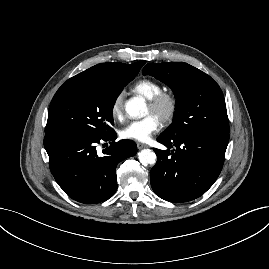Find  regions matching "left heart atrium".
Masks as SVG:
<instances>
[{
	"instance_id": "obj_1",
	"label": "left heart atrium",
	"mask_w": 269,
	"mask_h": 269,
	"mask_svg": "<svg viewBox=\"0 0 269 269\" xmlns=\"http://www.w3.org/2000/svg\"><path fill=\"white\" fill-rule=\"evenodd\" d=\"M160 127V119L153 114H149L143 119L134 120L128 123L122 128L120 135L124 139L146 142L160 129Z\"/></svg>"
}]
</instances>
